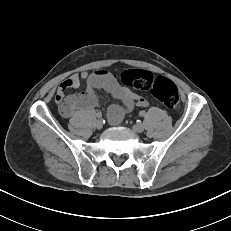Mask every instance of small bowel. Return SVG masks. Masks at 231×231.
I'll list each match as a JSON object with an SVG mask.
<instances>
[{"mask_svg": "<svg viewBox=\"0 0 231 231\" xmlns=\"http://www.w3.org/2000/svg\"><path fill=\"white\" fill-rule=\"evenodd\" d=\"M84 84L80 94L66 95L67 90L76 89ZM97 90H105L115 99L122 102L123 107H111L108 119L112 124H118L125 113L135 107H146L148 101L129 87L122 84L119 77L107 70H97L93 73L86 71L73 74L65 79L58 87L55 102L64 118H71L77 111H87L98 107L101 103Z\"/></svg>", "mask_w": 231, "mask_h": 231, "instance_id": "obj_1", "label": "small bowel"}]
</instances>
